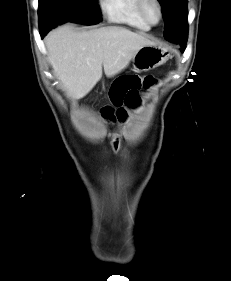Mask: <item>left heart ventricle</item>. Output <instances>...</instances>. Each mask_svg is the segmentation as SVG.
Returning a JSON list of instances; mask_svg holds the SVG:
<instances>
[{"label":"left heart ventricle","mask_w":231,"mask_h":281,"mask_svg":"<svg viewBox=\"0 0 231 281\" xmlns=\"http://www.w3.org/2000/svg\"><path fill=\"white\" fill-rule=\"evenodd\" d=\"M147 12L150 16V18L154 21L157 20L158 18V11H157V8L153 5V4H149L147 6Z\"/></svg>","instance_id":"left-heart-ventricle-1"}]
</instances>
